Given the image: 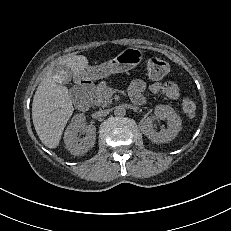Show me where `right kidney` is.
<instances>
[{"instance_id": "1", "label": "right kidney", "mask_w": 231, "mask_h": 231, "mask_svg": "<svg viewBox=\"0 0 231 231\" xmlns=\"http://www.w3.org/2000/svg\"><path fill=\"white\" fill-rule=\"evenodd\" d=\"M85 121L83 114L75 115L64 134L66 149L75 156L84 155L95 144L96 128L94 125H86ZM78 133L85 136L79 138Z\"/></svg>"}]
</instances>
